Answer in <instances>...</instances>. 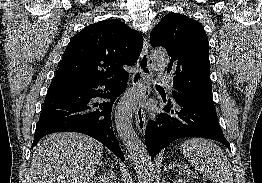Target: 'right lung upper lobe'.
Segmentation results:
<instances>
[{"label": "right lung upper lobe", "instance_id": "obj_1", "mask_svg": "<svg viewBox=\"0 0 262 183\" xmlns=\"http://www.w3.org/2000/svg\"><path fill=\"white\" fill-rule=\"evenodd\" d=\"M143 46L141 34L119 20L91 24L68 44L51 85L115 78L133 65Z\"/></svg>", "mask_w": 262, "mask_h": 183}]
</instances>
